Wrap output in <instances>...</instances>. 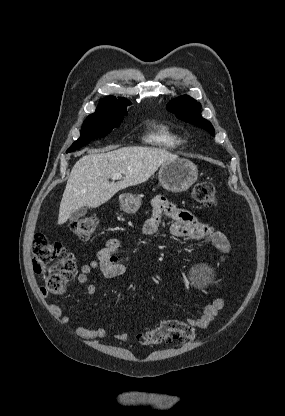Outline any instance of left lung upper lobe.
I'll return each instance as SVG.
<instances>
[{"label":"left lung upper lobe","instance_id":"5c2ea615","mask_svg":"<svg viewBox=\"0 0 285 416\" xmlns=\"http://www.w3.org/2000/svg\"><path fill=\"white\" fill-rule=\"evenodd\" d=\"M167 109L175 113L176 116L193 125L199 126L211 135H215L214 128L209 121L201 116V105L193 98L184 95L170 101L167 105Z\"/></svg>","mask_w":285,"mask_h":416}]
</instances>
